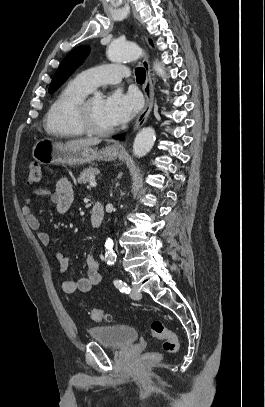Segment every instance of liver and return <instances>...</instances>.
Returning a JSON list of instances; mask_svg holds the SVG:
<instances>
[{"mask_svg": "<svg viewBox=\"0 0 265 407\" xmlns=\"http://www.w3.org/2000/svg\"><path fill=\"white\" fill-rule=\"evenodd\" d=\"M101 142L99 139H80V140H74V141H69L67 144H72V145H82V146H95L98 145Z\"/></svg>", "mask_w": 265, "mask_h": 407, "instance_id": "obj_1", "label": "liver"}]
</instances>
